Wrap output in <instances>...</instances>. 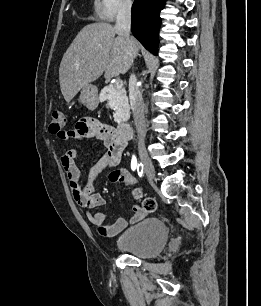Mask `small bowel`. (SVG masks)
<instances>
[{"instance_id": "1", "label": "small bowel", "mask_w": 261, "mask_h": 306, "mask_svg": "<svg viewBox=\"0 0 261 306\" xmlns=\"http://www.w3.org/2000/svg\"><path fill=\"white\" fill-rule=\"evenodd\" d=\"M61 139L97 140L103 145V152L97 162L91 167L88 179L84 185L81 182V171L75 163L77 157V150L75 148L67 150L62 155L61 163L68 178L72 196L75 202L86 210L88 221L96 226L98 233L102 236L112 237L119 234L127 227L128 221L119 218L112 224H106L107 216L105 213L92 212L93 209L105 203L104 198L100 194L93 193V189L97 178L103 171L114 168L120 163L128 140L122 138L113 128L92 119L80 120L73 129L66 130L65 135ZM112 173L110 174L111 181ZM132 211L133 214L129 222H136L145 215V211L140 205L133 206Z\"/></svg>"}]
</instances>
